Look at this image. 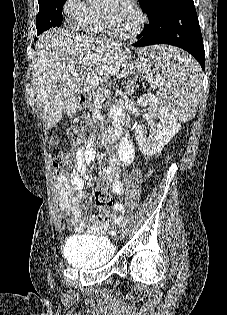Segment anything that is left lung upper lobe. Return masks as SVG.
Listing matches in <instances>:
<instances>
[{
	"label": "left lung upper lobe",
	"instance_id": "left-lung-upper-lobe-1",
	"mask_svg": "<svg viewBox=\"0 0 227 315\" xmlns=\"http://www.w3.org/2000/svg\"><path fill=\"white\" fill-rule=\"evenodd\" d=\"M193 0H139L142 11L146 12L149 19L154 17L161 10L181 2Z\"/></svg>",
	"mask_w": 227,
	"mask_h": 315
}]
</instances>
